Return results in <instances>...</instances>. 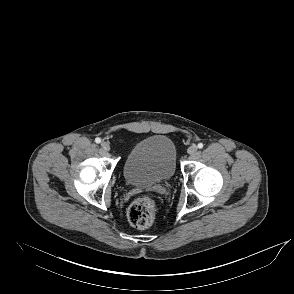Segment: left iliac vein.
<instances>
[{"mask_svg":"<svg viewBox=\"0 0 294 294\" xmlns=\"http://www.w3.org/2000/svg\"><path fill=\"white\" fill-rule=\"evenodd\" d=\"M196 151H197V146L195 144L191 145L187 150L188 154H191V155L196 153Z\"/></svg>","mask_w":294,"mask_h":294,"instance_id":"left-iliac-vein-1","label":"left iliac vein"}]
</instances>
